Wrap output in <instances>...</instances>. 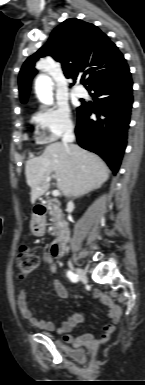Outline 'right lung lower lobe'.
<instances>
[{
	"label": "right lung lower lobe",
	"mask_w": 145,
	"mask_h": 385,
	"mask_svg": "<svg viewBox=\"0 0 145 385\" xmlns=\"http://www.w3.org/2000/svg\"><path fill=\"white\" fill-rule=\"evenodd\" d=\"M132 78L128 65L91 85L94 103H82L77 109L78 120L75 133L78 144L100 155L110 169H119L127 143L133 103ZM95 109L96 119L90 117Z\"/></svg>",
	"instance_id": "1"
}]
</instances>
